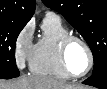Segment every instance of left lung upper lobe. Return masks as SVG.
<instances>
[{"mask_svg":"<svg viewBox=\"0 0 107 89\" xmlns=\"http://www.w3.org/2000/svg\"><path fill=\"white\" fill-rule=\"evenodd\" d=\"M83 36L94 57L93 73L107 63V0H43Z\"/></svg>","mask_w":107,"mask_h":89,"instance_id":"left-lung-upper-lobe-1","label":"left lung upper lobe"}]
</instances>
